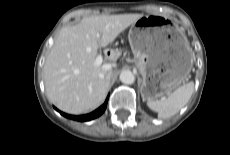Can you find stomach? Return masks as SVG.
Returning a JSON list of instances; mask_svg holds the SVG:
<instances>
[{
	"mask_svg": "<svg viewBox=\"0 0 230 155\" xmlns=\"http://www.w3.org/2000/svg\"><path fill=\"white\" fill-rule=\"evenodd\" d=\"M129 43L143 77L141 95L155 101L183 84L193 65L184 31L169 18L143 16L129 30Z\"/></svg>",
	"mask_w": 230,
	"mask_h": 155,
	"instance_id": "obj_1",
	"label": "stomach"
}]
</instances>
